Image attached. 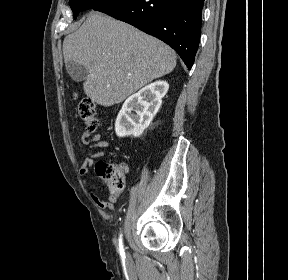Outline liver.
Segmentation results:
<instances>
[{"instance_id": "6515ba94", "label": "liver", "mask_w": 288, "mask_h": 280, "mask_svg": "<svg viewBox=\"0 0 288 280\" xmlns=\"http://www.w3.org/2000/svg\"><path fill=\"white\" fill-rule=\"evenodd\" d=\"M63 55L65 64L85 67L89 75L84 92L105 107L122 102L176 66V53L168 45L96 11L65 37Z\"/></svg>"}]
</instances>
